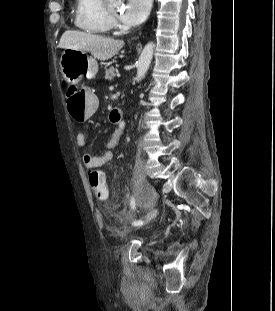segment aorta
<instances>
[{"label":"aorta","mask_w":275,"mask_h":311,"mask_svg":"<svg viewBox=\"0 0 275 311\" xmlns=\"http://www.w3.org/2000/svg\"><path fill=\"white\" fill-rule=\"evenodd\" d=\"M109 3H121L122 0H108ZM155 44L153 42H149L143 49L137 64V76L136 80L139 82L144 77L151 63L153 53H154Z\"/></svg>","instance_id":"aorta-1"}]
</instances>
